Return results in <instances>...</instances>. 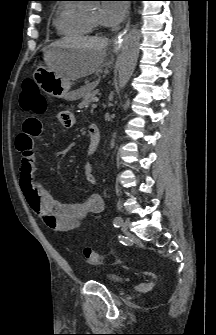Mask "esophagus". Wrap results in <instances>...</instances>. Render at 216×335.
<instances>
[{"mask_svg":"<svg viewBox=\"0 0 216 335\" xmlns=\"http://www.w3.org/2000/svg\"><path fill=\"white\" fill-rule=\"evenodd\" d=\"M129 23H130V17H128L126 27L114 39V46L116 48L120 47V45H121V43H122V41H123V39L126 35L127 29L129 27Z\"/></svg>","mask_w":216,"mask_h":335,"instance_id":"1","label":"esophagus"}]
</instances>
